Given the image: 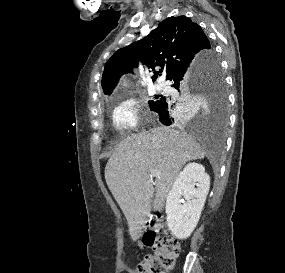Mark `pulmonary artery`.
Wrapping results in <instances>:
<instances>
[{"instance_id": "obj_1", "label": "pulmonary artery", "mask_w": 285, "mask_h": 273, "mask_svg": "<svg viewBox=\"0 0 285 273\" xmlns=\"http://www.w3.org/2000/svg\"><path fill=\"white\" fill-rule=\"evenodd\" d=\"M168 88V85L166 84V83H158L157 85H156V89L158 90V91H163V90H166Z\"/></svg>"}]
</instances>
